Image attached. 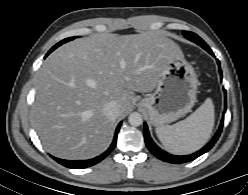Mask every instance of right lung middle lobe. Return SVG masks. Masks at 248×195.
<instances>
[{
	"instance_id": "1",
	"label": "right lung middle lobe",
	"mask_w": 248,
	"mask_h": 195,
	"mask_svg": "<svg viewBox=\"0 0 248 195\" xmlns=\"http://www.w3.org/2000/svg\"><path fill=\"white\" fill-rule=\"evenodd\" d=\"M74 38H75V37H69V38H66V39L60 41L59 43H57L55 46H53V47L50 49V51L48 52V54L51 53L53 50H55V49H56L57 47H59L60 45L66 43V42H68V41H71V40H73Z\"/></svg>"
}]
</instances>
